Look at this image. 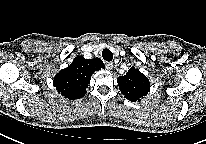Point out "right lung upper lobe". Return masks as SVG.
Segmentation results:
<instances>
[{
	"instance_id": "cb5924a9",
	"label": "right lung upper lobe",
	"mask_w": 206,
	"mask_h": 144,
	"mask_svg": "<svg viewBox=\"0 0 206 144\" xmlns=\"http://www.w3.org/2000/svg\"><path fill=\"white\" fill-rule=\"evenodd\" d=\"M104 68L101 59H85L77 56L72 64L61 70L54 78V86L61 95L73 100L83 97L92 74Z\"/></svg>"
}]
</instances>
